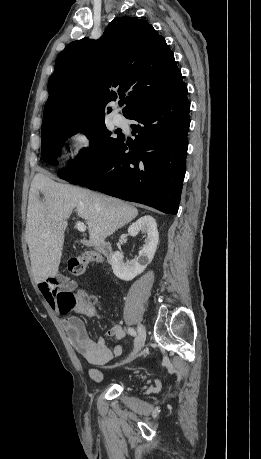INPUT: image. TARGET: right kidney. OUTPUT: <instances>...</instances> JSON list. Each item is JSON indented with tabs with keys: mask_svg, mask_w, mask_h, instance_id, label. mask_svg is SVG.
I'll use <instances>...</instances> for the list:
<instances>
[{
	"mask_svg": "<svg viewBox=\"0 0 261 459\" xmlns=\"http://www.w3.org/2000/svg\"><path fill=\"white\" fill-rule=\"evenodd\" d=\"M139 231L146 232L147 238L145 244L139 251V256L136 260H127L124 262L123 253L116 251L112 255L111 265L114 274L121 280L130 281L137 275L141 274L151 263L159 241V233L155 219L146 215L139 218L128 228V233L135 237Z\"/></svg>",
	"mask_w": 261,
	"mask_h": 459,
	"instance_id": "ca27d5eb",
	"label": "right kidney"
}]
</instances>
